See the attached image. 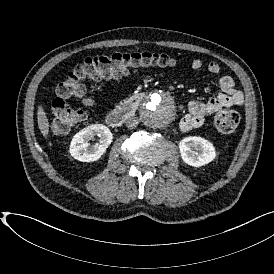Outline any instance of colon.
Returning <instances> with one entry per match:
<instances>
[{
    "instance_id": "obj_1",
    "label": "colon",
    "mask_w": 274,
    "mask_h": 274,
    "mask_svg": "<svg viewBox=\"0 0 274 274\" xmlns=\"http://www.w3.org/2000/svg\"><path fill=\"white\" fill-rule=\"evenodd\" d=\"M175 64V60L162 53L150 52H115L108 55H94L83 60L70 69L56 86V95L51 102L53 118L50 123L51 132L63 135L77 124L81 111L67 103L76 97L89 105L85 83L115 79L132 73L135 69L147 66L167 67ZM240 122L239 114L233 110H220L215 116V126L219 133H233Z\"/></svg>"
}]
</instances>
